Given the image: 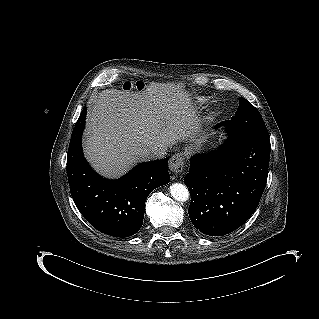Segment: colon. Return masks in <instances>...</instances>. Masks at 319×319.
I'll use <instances>...</instances> for the list:
<instances>
[{
    "label": "colon",
    "mask_w": 319,
    "mask_h": 319,
    "mask_svg": "<svg viewBox=\"0 0 319 319\" xmlns=\"http://www.w3.org/2000/svg\"><path fill=\"white\" fill-rule=\"evenodd\" d=\"M144 88V84L142 82H136V83H131V82H126L124 84V90H132V89H137V90H142Z\"/></svg>",
    "instance_id": "colon-1"
}]
</instances>
